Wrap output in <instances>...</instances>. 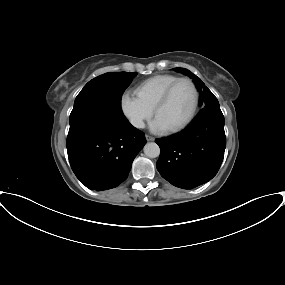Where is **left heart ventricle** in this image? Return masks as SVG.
I'll return each instance as SVG.
<instances>
[{"label": "left heart ventricle", "mask_w": 285, "mask_h": 285, "mask_svg": "<svg viewBox=\"0 0 285 285\" xmlns=\"http://www.w3.org/2000/svg\"><path fill=\"white\" fill-rule=\"evenodd\" d=\"M193 103L194 93L191 85L182 82L175 88L169 101L158 110L156 116L171 129L188 117Z\"/></svg>", "instance_id": "b2bd125f"}]
</instances>
